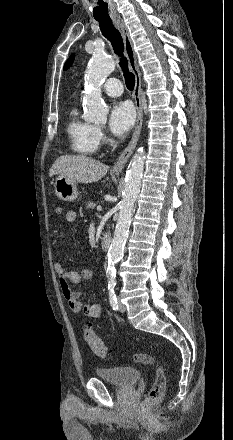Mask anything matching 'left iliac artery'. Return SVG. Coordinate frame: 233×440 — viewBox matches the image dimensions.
<instances>
[{
    "label": "left iliac artery",
    "instance_id": "44dca946",
    "mask_svg": "<svg viewBox=\"0 0 233 440\" xmlns=\"http://www.w3.org/2000/svg\"><path fill=\"white\" fill-rule=\"evenodd\" d=\"M115 285H116L115 280H112V279L109 280V282H108L109 301H110V305H111L112 309L116 311V310H118V301H117V297H116L115 290H114Z\"/></svg>",
    "mask_w": 233,
    "mask_h": 440
}]
</instances>
